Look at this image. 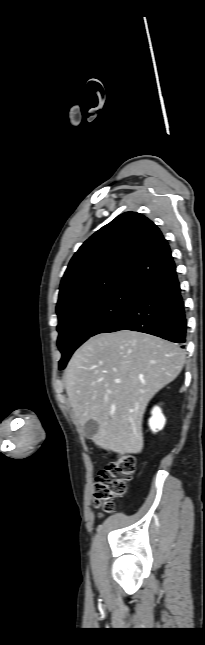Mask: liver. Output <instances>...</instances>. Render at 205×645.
<instances>
[{"label": "liver", "mask_w": 205, "mask_h": 645, "mask_svg": "<svg viewBox=\"0 0 205 645\" xmlns=\"http://www.w3.org/2000/svg\"><path fill=\"white\" fill-rule=\"evenodd\" d=\"M184 363L177 344L149 334L124 330L91 337L66 369V393L80 430L95 420L99 429L91 439L97 446L140 453L146 406Z\"/></svg>", "instance_id": "obj_1"}]
</instances>
